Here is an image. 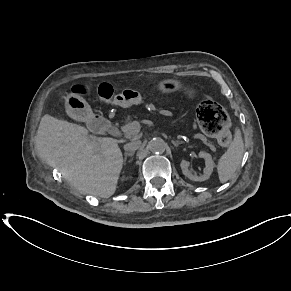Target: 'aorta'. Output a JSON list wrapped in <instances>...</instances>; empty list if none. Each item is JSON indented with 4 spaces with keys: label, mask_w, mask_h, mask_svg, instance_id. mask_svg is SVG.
Listing matches in <instances>:
<instances>
[{
    "label": "aorta",
    "mask_w": 291,
    "mask_h": 291,
    "mask_svg": "<svg viewBox=\"0 0 291 291\" xmlns=\"http://www.w3.org/2000/svg\"><path fill=\"white\" fill-rule=\"evenodd\" d=\"M148 147L153 153H163L166 149V143L161 138H153L148 143Z\"/></svg>",
    "instance_id": "obj_1"
}]
</instances>
